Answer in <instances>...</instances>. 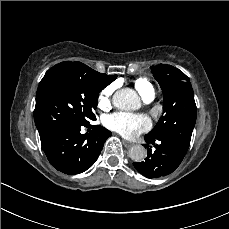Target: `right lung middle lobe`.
<instances>
[{
	"instance_id": "obj_1",
	"label": "right lung middle lobe",
	"mask_w": 229,
	"mask_h": 229,
	"mask_svg": "<svg viewBox=\"0 0 229 229\" xmlns=\"http://www.w3.org/2000/svg\"><path fill=\"white\" fill-rule=\"evenodd\" d=\"M99 92L73 68H50L39 83L34 110L41 143L63 126L88 125L96 120Z\"/></svg>"
}]
</instances>
